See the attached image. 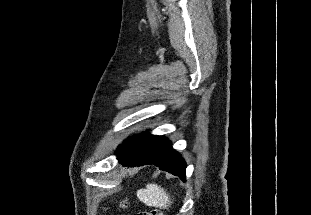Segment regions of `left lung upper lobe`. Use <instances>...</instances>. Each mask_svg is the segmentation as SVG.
<instances>
[{
    "mask_svg": "<svg viewBox=\"0 0 311 215\" xmlns=\"http://www.w3.org/2000/svg\"><path fill=\"white\" fill-rule=\"evenodd\" d=\"M134 140H135V138H130L122 146H119L117 149L118 152L116 153V155L125 151L133 143Z\"/></svg>",
    "mask_w": 311,
    "mask_h": 215,
    "instance_id": "1",
    "label": "left lung upper lobe"
}]
</instances>
